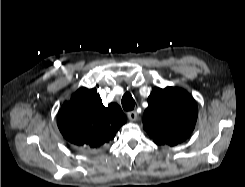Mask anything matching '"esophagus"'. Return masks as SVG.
Wrapping results in <instances>:
<instances>
[{
    "label": "esophagus",
    "instance_id": "esophagus-1",
    "mask_svg": "<svg viewBox=\"0 0 245 187\" xmlns=\"http://www.w3.org/2000/svg\"><path fill=\"white\" fill-rule=\"evenodd\" d=\"M127 116L128 118L131 120V121H136L137 120V113L136 111H129L127 113Z\"/></svg>",
    "mask_w": 245,
    "mask_h": 187
}]
</instances>
